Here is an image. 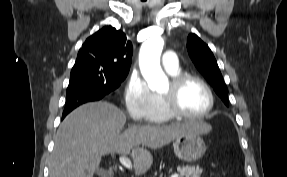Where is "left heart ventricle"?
Instances as JSON below:
<instances>
[{
  "instance_id": "obj_1",
  "label": "left heart ventricle",
  "mask_w": 287,
  "mask_h": 177,
  "mask_svg": "<svg viewBox=\"0 0 287 177\" xmlns=\"http://www.w3.org/2000/svg\"><path fill=\"white\" fill-rule=\"evenodd\" d=\"M170 84L162 93L169 89ZM181 110L189 114H201L209 105V97L205 89L196 82H190L184 86L178 98Z\"/></svg>"
}]
</instances>
